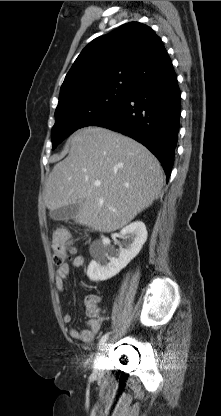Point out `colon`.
Segmentation results:
<instances>
[{"label":"colon","instance_id":"colon-1","mask_svg":"<svg viewBox=\"0 0 221 416\" xmlns=\"http://www.w3.org/2000/svg\"><path fill=\"white\" fill-rule=\"evenodd\" d=\"M51 250L54 263L60 264L75 252L71 238L66 231H55L51 239Z\"/></svg>","mask_w":221,"mask_h":416}]
</instances>
